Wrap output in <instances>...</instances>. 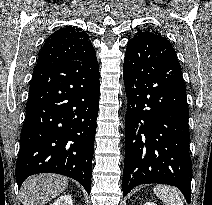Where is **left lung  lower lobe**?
I'll use <instances>...</instances> for the list:
<instances>
[{
	"mask_svg": "<svg viewBox=\"0 0 212 205\" xmlns=\"http://www.w3.org/2000/svg\"><path fill=\"white\" fill-rule=\"evenodd\" d=\"M123 194L139 184L181 190L190 203L192 163L186 89L176 53L160 35L128 42Z\"/></svg>",
	"mask_w": 212,
	"mask_h": 205,
	"instance_id": "left-lung-lower-lobe-1",
	"label": "left lung lower lobe"
}]
</instances>
